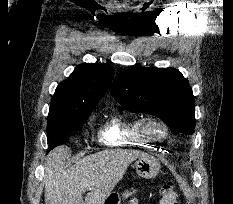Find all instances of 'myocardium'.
<instances>
[{"label": "myocardium", "mask_w": 233, "mask_h": 204, "mask_svg": "<svg viewBox=\"0 0 233 204\" xmlns=\"http://www.w3.org/2000/svg\"><path fill=\"white\" fill-rule=\"evenodd\" d=\"M153 127L160 128V132L155 133ZM139 130L144 137L153 141H162L169 135L167 123L163 119L151 115L145 116L140 120Z\"/></svg>", "instance_id": "f54148a6"}]
</instances>
